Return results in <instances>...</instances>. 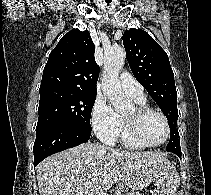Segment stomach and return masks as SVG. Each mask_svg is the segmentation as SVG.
Wrapping results in <instances>:
<instances>
[{
	"mask_svg": "<svg viewBox=\"0 0 211 195\" xmlns=\"http://www.w3.org/2000/svg\"><path fill=\"white\" fill-rule=\"evenodd\" d=\"M152 181L160 188L158 195H175V187L178 182V175L170 162L161 163L159 169L153 174ZM149 178L141 175H133L132 183L143 184ZM136 189V188H135ZM138 190V189H136Z\"/></svg>",
	"mask_w": 211,
	"mask_h": 195,
	"instance_id": "1",
	"label": "stomach"
}]
</instances>
